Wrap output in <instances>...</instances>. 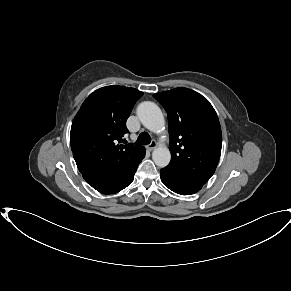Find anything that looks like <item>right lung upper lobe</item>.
Here are the masks:
<instances>
[{"mask_svg": "<svg viewBox=\"0 0 291 291\" xmlns=\"http://www.w3.org/2000/svg\"><path fill=\"white\" fill-rule=\"evenodd\" d=\"M143 92L128 87L106 86L89 95L75 116L70 143L81 173L119 170L145 149L121 145L128 133L126 120Z\"/></svg>", "mask_w": 291, "mask_h": 291, "instance_id": "right-lung-upper-lobe-1", "label": "right lung upper lobe"}]
</instances>
